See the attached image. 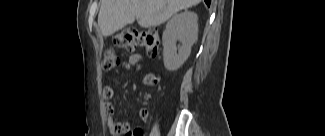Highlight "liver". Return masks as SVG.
Masks as SVG:
<instances>
[{"mask_svg": "<svg viewBox=\"0 0 325 136\" xmlns=\"http://www.w3.org/2000/svg\"><path fill=\"white\" fill-rule=\"evenodd\" d=\"M200 2L201 0H101L98 25L104 37L133 23L135 19L143 28L156 27L178 11Z\"/></svg>", "mask_w": 325, "mask_h": 136, "instance_id": "liver-1", "label": "liver"}]
</instances>
